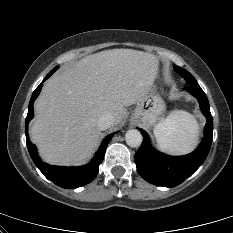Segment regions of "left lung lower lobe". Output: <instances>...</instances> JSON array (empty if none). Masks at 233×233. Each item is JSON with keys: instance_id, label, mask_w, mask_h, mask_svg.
<instances>
[{"instance_id": "left-lung-lower-lobe-1", "label": "left lung lower lobe", "mask_w": 233, "mask_h": 233, "mask_svg": "<svg viewBox=\"0 0 233 233\" xmlns=\"http://www.w3.org/2000/svg\"><path fill=\"white\" fill-rule=\"evenodd\" d=\"M185 89L197 98L207 118L204 140L194 152L185 156L173 157L156 152V157H152L149 137L139 129L143 134V143L135 154V163L138 173L151 184L169 188L181 184L202 165L210 150L213 122L208 99L198 84H189Z\"/></svg>"}]
</instances>
